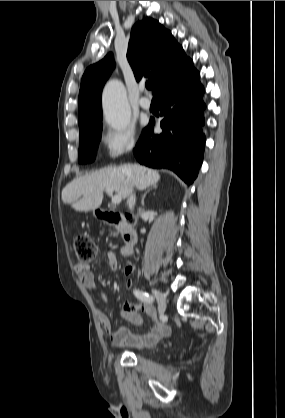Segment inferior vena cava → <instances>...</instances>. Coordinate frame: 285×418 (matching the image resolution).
I'll list each match as a JSON object with an SVG mask.
<instances>
[{"label":"inferior vena cava","mask_w":285,"mask_h":418,"mask_svg":"<svg viewBox=\"0 0 285 418\" xmlns=\"http://www.w3.org/2000/svg\"><path fill=\"white\" fill-rule=\"evenodd\" d=\"M127 203L129 205L130 209L132 210L134 208V206H135V203H136V196H135V194L132 193L128 197Z\"/></svg>","instance_id":"inferior-vena-cava-1"}]
</instances>
